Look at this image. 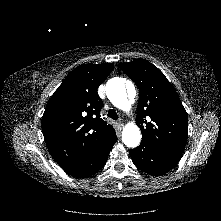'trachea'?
Returning a JSON list of instances; mask_svg holds the SVG:
<instances>
[{
	"mask_svg": "<svg viewBox=\"0 0 221 221\" xmlns=\"http://www.w3.org/2000/svg\"><path fill=\"white\" fill-rule=\"evenodd\" d=\"M108 117L112 118L113 120H117L118 119V114L116 113V111L114 109H110L108 111Z\"/></svg>",
	"mask_w": 221,
	"mask_h": 221,
	"instance_id": "3493384b",
	"label": "trachea"
}]
</instances>
